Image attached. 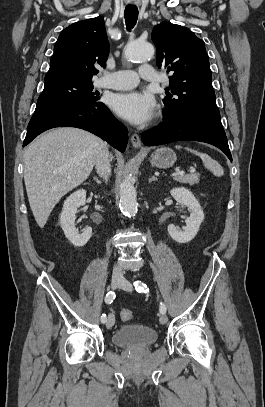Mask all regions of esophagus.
Segmentation results:
<instances>
[{
    "mask_svg": "<svg viewBox=\"0 0 265 407\" xmlns=\"http://www.w3.org/2000/svg\"><path fill=\"white\" fill-rule=\"evenodd\" d=\"M131 143L135 148H140L141 147V139L140 136L136 133H134L131 136Z\"/></svg>",
    "mask_w": 265,
    "mask_h": 407,
    "instance_id": "1",
    "label": "esophagus"
}]
</instances>
